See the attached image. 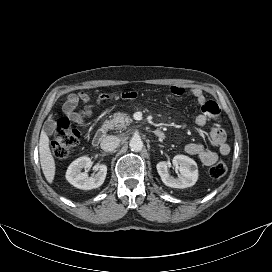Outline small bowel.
Wrapping results in <instances>:
<instances>
[{
  "instance_id": "small-bowel-1",
  "label": "small bowel",
  "mask_w": 272,
  "mask_h": 272,
  "mask_svg": "<svg viewBox=\"0 0 272 272\" xmlns=\"http://www.w3.org/2000/svg\"><path fill=\"white\" fill-rule=\"evenodd\" d=\"M186 90L182 86H172L171 93L174 96L181 97L185 94ZM188 92L195 98L196 102L200 105V113L195 117V124L197 126H204L209 121H212V126L210 130V140L213 145L218 148L221 155H227L230 152V146L227 143L226 132L221 127L220 124L216 122L220 115V108L218 104L214 101L207 100L201 89L192 87L189 88ZM137 98V93L135 91H116L111 93H102L98 97V103L107 100H117V99H135ZM79 101L84 104V113L87 117L92 116V109L88 105L90 97L85 92H79L77 94H70L64 102L63 112L68 118L78 124H83L84 119L82 116L75 112V108ZM185 151L199 158V160L206 166L213 165L217 159L218 154L206 148L202 143H188L185 146Z\"/></svg>"
}]
</instances>
